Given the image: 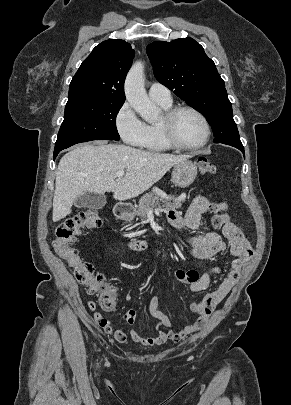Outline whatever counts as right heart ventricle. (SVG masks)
<instances>
[{
    "instance_id": "obj_1",
    "label": "right heart ventricle",
    "mask_w": 291,
    "mask_h": 405,
    "mask_svg": "<svg viewBox=\"0 0 291 405\" xmlns=\"http://www.w3.org/2000/svg\"><path fill=\"white\" fill-rule=\"evenodd\" d=\"M157 104L163 111H166L172 107V102H157ZM141 147L152 152H163L172 148L165 141L159 122H151L146 124V135Z\"/></svg>"
}]
</instances>
